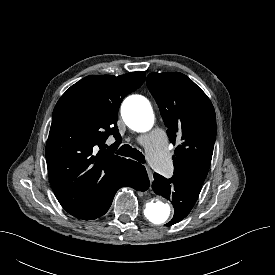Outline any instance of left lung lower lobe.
I'll list each match as a JSON object with an SVG mask.
<instances>
[{
    "mask_svg": "<svg viewBox=\"0 0 275 275\" xmlns=\"http://www.w3.org/2000/svg\"><path fill=\"white\" fill-rule=\"evenodd\" d=\"M152 188L156 194L172 201L174 216L167 224V226H170L181 221L189 214L199 196L202 185L175 176L167 179L154 173Z\"/></svg>",
    "mask_w": 275,
    "mask_h": 275,
    "instance_id": "left-lung-lower-lobe-1",
    "label": "left lung lower lobe"
}]
</instances>
